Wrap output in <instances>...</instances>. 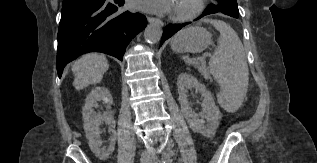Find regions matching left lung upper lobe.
<instances>
[{
    "mask_svg": "<svg viewBox=\"0 0 317 163\" xmlns=\"http://www.w3.org/2000/svg\"><path fill=\"white\" fill-rule=\"evenodd\" d=\"M218 4H211L208 6L206 11L211 13L222 12L230 16H238V6L236 0H216Z\"/></svg>",
    "mask_w": 317,
    "mask_h": 163,
    "instance_id": "obj_1",
    "label": "left lung upper lobe"
}]
</instances>
